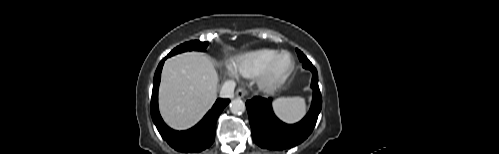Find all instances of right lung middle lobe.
Here are the masks:
<instances>
[{
	"label": "right lung middle lobe",
	"mask_w": 499,
	"mask_h": 154,
	"mask_svg": "<svg viewBox=\"0 0 499 154\" xmlns=\"http://www.w3.org/2000/svg\"><path fill=\"white\" fill-rule=\"evenodd\" d=\"M208 46L207 42H200V41H189L184 44H181L180 46H177L175 49H173L167 57L173 56L175 54L185 52V51H191V50H198V51H205L206 47Z\"/></svg>",
	"instance_id": "1"
}]
</instances>
